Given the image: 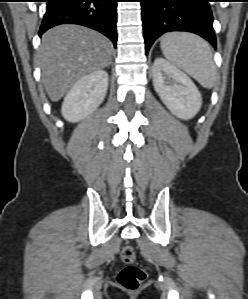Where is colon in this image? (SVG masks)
I'll return each mask as SVG.
<instances>
[{
	"instance_id": "5ec220e1",
	"label": "colon",
	"mask_w": 248,
	"mask_h": 299,
	"mask_svg": "<svg viewBox=\"0 0 248 299\" xmlns=\"http://www.w3.org/2000/svg\"><path fill=\"white\" fill-rule=\"evenodd\" d=\"M121 260L125 266L118 273V284L129 291L139 289L146 278V271L136 264V252L133 246H124L121 251Z\"/></svg>"
}]
</instances>
